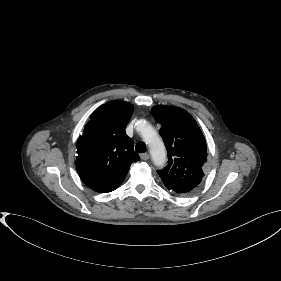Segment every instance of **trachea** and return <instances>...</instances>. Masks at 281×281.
Masks as SVG:
<instances>
[{
	"mask_svg": "<svg viewBox=\"0 0 281 281\" xmlns=\"http://www.w3.org/2000/svg\"><path fill=\"white\" fill-rule=\"evenodd\" d=\"M135 150L138 152V153H144L146 152V145L144 142L140 141L136 144L135 146Z\"/></svg>",
	"mask_w": 281,
	"mask_h": 281,
	"instance_id": "trachea-1",
	"label": "trachea"
}]
</instances>
